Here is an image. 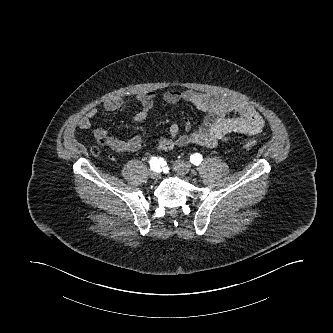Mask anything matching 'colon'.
<instances>
[{
	"label": "colon",
	"mask_w": 333,
	"mask_h": 333,
	"mask_svg": "<svg viewBox=\"0 0 333 333\" xmlns=\"http://www.w3.org/2000/svg\"><path fill=\"white\" fill-rule=\"evenodd\" d=\"M97 141H98V145L106 144V138L105 137H102V138L98 139ZM256 145L257 144H256L255 141L249 140V141H246L243 144V149L246 150V151H250V150L254 149L256 147ZM91 151L94 155H98L99 154L98 146L93 147Z\"/></svg>",
	"instance_id": "obj_1"
}]
</instances>
